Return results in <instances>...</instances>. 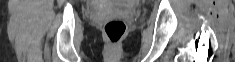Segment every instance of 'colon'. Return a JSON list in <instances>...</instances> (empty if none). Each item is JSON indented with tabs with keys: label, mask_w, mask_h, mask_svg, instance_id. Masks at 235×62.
Here are the masks:
<instances>
[{
	"label": "colon",
	"mask_w": 235,
	"mask_h": 62,
	"mask_svg": "<svg viewBox=\"0 0 235 62\" xmlns=\"http://www.w3.org/2000/svg\"><path fill=\"white\" fill-rule=\"evenodd\" d=\"M103 30L108 43L114 47L123 38L126 31V24L121 19H112L104 24Z\"/></svg>",
	"instance_id": "obj_1"
}]
</instances>
